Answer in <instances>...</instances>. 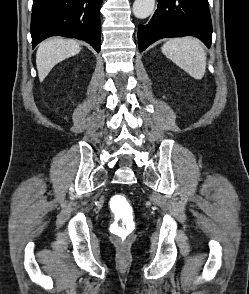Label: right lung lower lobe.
Here are the masks:
<instances>
[{
	"mask_svg": "<svg viewBox=\"0 0 249 294\" xmlns=\"http://www.w3.org/2000/svg\"><path fill=\"white\" fill-rule=\"evenodd\" d=\"M101 3L102 0H34L30 30L33 48L59 35L85 40L99 52Z\"/></svg>",
	"mask_w": 249,
	"mask_h": 294,
	"instance_id": "1",
	"label": "right lung lower lobe"
}]
</instances>
